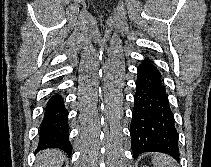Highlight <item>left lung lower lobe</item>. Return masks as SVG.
I'll return each mask as SVG.
<instances>
[{
    "mask_svg": "<svg viewBox=\"0 0 211 167\" xmlns=\"http://www.w3.org/2000/svg\"><path fill=\"white\" fill-rule=\"evenodd\" d=\"M137 71L130 125L133 156L160 152L178 160V133L161 73L150 60L142 61Z\"/></svg>",
    "mask_w": 211,
    "mask_h": 167,
    "instance_id": "obj_1",
    "label": "left lung lower lobe"
}]
</instances>
